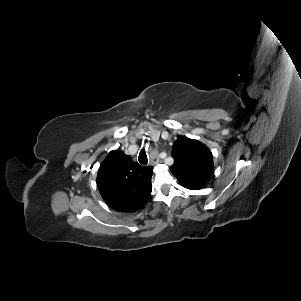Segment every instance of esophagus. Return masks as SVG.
<instances>
[{
	"label": "esophagus",
	"instance_id": "obj_1",
	"mask_svg": "<svg viewBox=\"0 0 301 301\" xmlns=\"http://www.w3.org/2000/svg\"><path fill=\"white\" fill-rule=\"evenodd\" d=\"M159 162L158 158L156 156H152L150 159L151 165H156Z\"/></svg>",
	"mask_w": 301,
	"mask_h": 301
}]
</instances>
